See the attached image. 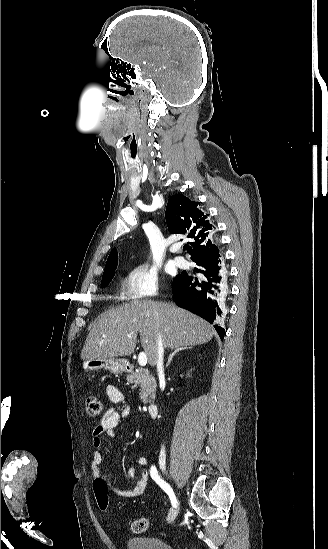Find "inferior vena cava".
<instances>
[{
  "mask_svg": "<svg viewBox=\"0 0 328 549\" xmlns=\"http://www.w3.org/2000/svg\"><path fill=\"white\" fill-rule=\"evenodd\" d=\"M163 355H164V343H163L161 337H158L156 365H157V371H158L159 377H163V379H164ZM163 455H165V447H161L160 457H163Z\"/></svg>",
  "mask_w": 328,
  "mask_h": 549,
  "instance_id": "602c4592",
  "label": "inferior vena cava"
}]
</instances>
